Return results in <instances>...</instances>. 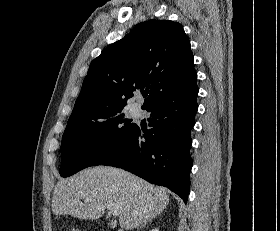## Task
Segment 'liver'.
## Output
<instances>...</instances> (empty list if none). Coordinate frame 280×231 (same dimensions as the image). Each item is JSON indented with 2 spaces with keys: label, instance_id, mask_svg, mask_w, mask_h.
<instances>
[{
  "label": "liver",
  "instance_id": "liver-1",
  "mask_svg": "<svg viewBox=\"0 0 280 231\" xmlns=\"http://www.w3.org/2000/svg\"><path fill=\"white\" fill-rule=\"evenodd\" d=\"M168 203L165 187H155L124 169L98 165L59 179L54 187L52 211L55 215L69 213L80 219H98L106 207H120L121 227L133 229L161 213Z\"/></svg>",
  "mask_w": 280,
  "mask_h": 231
}]
</instances>
